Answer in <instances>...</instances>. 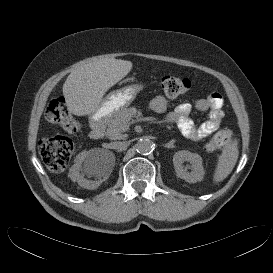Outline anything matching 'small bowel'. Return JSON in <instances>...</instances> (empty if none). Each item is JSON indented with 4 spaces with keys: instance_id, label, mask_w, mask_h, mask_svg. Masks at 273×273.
Segmentation results:
<instances>
[{
    "instance_id": "small-bowel-1",
    "label": "small bowel",
    "mask_w": 273,
    "mask_h": 273,
    "mask_svg": "<svg viewBox=\"0 0 273 273\" xmlns=\"http://www.w3.org/2000/svg\"><path fill=\"white\" fill-rule=\"evenodd\" d=\"M223 97L218 92H211L206 97L196 101L195 107L200 111H208L207 118L200 124L194 123L190 117L191 105H179L171 114L170 120L174 122L187 137L201 140L217 131L224 119ZM150 110L161 113L167 108V101L162 96H156L148 103Z\"/></svg>"
}]
</instances>
